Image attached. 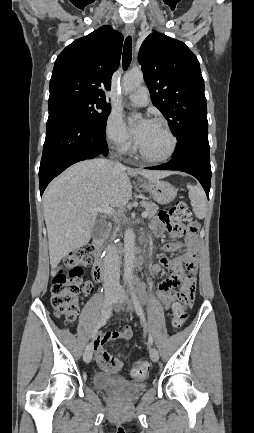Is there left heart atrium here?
<instances>
[{"instance_id": "1", "label": "left heart atrium", "mask_w": 254, "mask_h": 433, "mask_svg": "<svg viewBox=\"0 0 254 433\" xmlns=\"http://www.w3.org/2000/svg\"><path fill=\"white\" fill-rule=\"evenodd\" d=\"M151 121L148 119H143L139 122V124L133 129V134L137 141L143 136Z\"/></svg>"}]
</instances>
